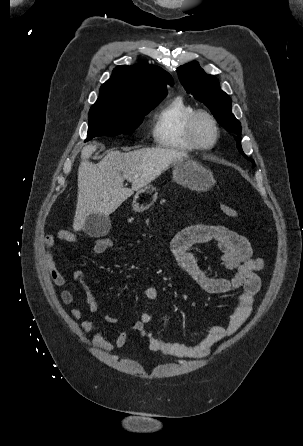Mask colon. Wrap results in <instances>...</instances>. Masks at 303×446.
<instances>
[{
	"mask_svg": "<svg viewBox=\"0 0 303 446\" xmlns=\"http://www.w3.org/2000/svg\"><path fill=\"white\" fill-rule=\"evenodd\" d=\"M221 211L227 217H230V218L237 217V211L233 207H231L229 205L222 204L221 205ZM112 245H113V241L111 239L104 238L103 246H104V250L105 251H108L112 247Z\"/></svg>",
	"mask_w": 303,
	"mask_h": 446,
	"instance_id": "colon-1",
	"label": "colon"
}]
</instances>
